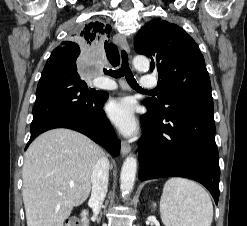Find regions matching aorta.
<instances>
[{"label":"aorta","instance_id":"762f6f07","mask_svg":"<svg viewBox=\"0 0 247 226\" xmlns=\"http://www.w3.org/2000/svg\"><path fill=\"white\" fill-rule=\"evenodd\" d=\"M133 66L138 71H147L150 67V62L145 56H136L133 59ZM137 170V160L135 156H128L122 166L120 174V189L124 199L130 194L134 187Z\"/></svg>","mask_w":247,"mask_h":226}]
</instances>
